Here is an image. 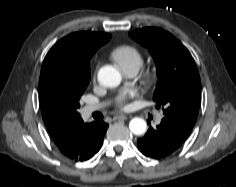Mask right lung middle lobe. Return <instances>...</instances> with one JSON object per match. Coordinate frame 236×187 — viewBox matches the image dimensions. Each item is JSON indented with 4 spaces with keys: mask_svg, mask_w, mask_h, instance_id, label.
Returning a JSON list of instances; mask_svg holds the SVG:
<instances>
[{
    "mask_svg": "<svg viewBox=\"0 0 236 187\" xmlns=\"http://www.w3.org/2000/svg\"><path fill=\"white\" fill-rule=\"evenodd\" d=\"M90 81V71L79 74L61 65L48 68L39 80L40 101L48 108L79 115V100Z\"/></svg>",
    "mask_w": 236,
    "mask_h": 187,
    "instance_id": "dd1d6c3e",
    "label": "right lung middle lobe"
}]
</instances>
